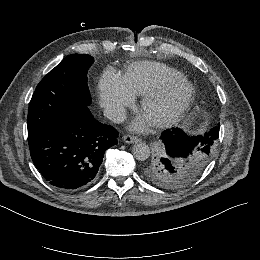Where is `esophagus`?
Here are the masks:
<instances>
[{
  "mask_svg": "<svg viewBox=\"0 0 260 260\" xmlns=\"http://www.w3.org/2000/svg\"><path fill=\"white\" fill-rule=\"evenodd\" d=\"M123 140H124V142L131 144V143L138 142L139 138L134 135H125V136H123Z\"/></svg>",
  "mask_w": 260,
  "mask_h": 260,
  "instance_id": "34e87169",
  "label": "esophagus"
}]
</instances>
